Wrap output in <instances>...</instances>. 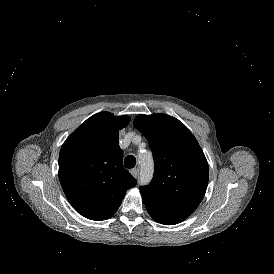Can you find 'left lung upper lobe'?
<instances>
[{"instance_id": "1", "label": "left lung upper lobe", "mask_w": 274, "mask_h": 274, "mask_svg": "<svg viewBox=\"0 0 274 274\" xmlns=\"http://www.w3.org/2000/svg\"><path fill=\"white\" fill-rule=\"evenodd\" d=\"M134 126L147 138L155 163L151 183L140 187V192L193 212L209 178L207 160L195 137L183 123L165 114L139 115Z\"/></svg>"}]
</instances>
